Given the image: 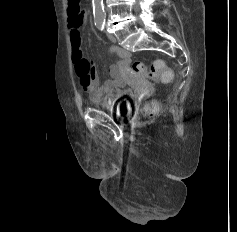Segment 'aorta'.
<instances>
[{
  "label": "aorta",
  "mask_w": 237,
  "mask_h": 232,
  "mask_svg": "<svg viewBox=\"0 0 237 232\" xmlns=\"http://www.w3.org/2000/svg\"><path fill=\"white\" fill-rule=\"evenodd\" d=\"M92 6L95 23L105 22L106 14L104 11L103 0H92Z\"/></svg>",
  "instance_id": "aorta-1"
}]
</instances>
